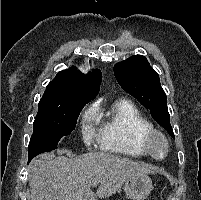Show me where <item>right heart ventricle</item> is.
<instances>
[{"label": "right heart ventricle", "instance_id": "obj_1", "mask_svg": "<svg viewBox=\"0 0 201 200\" xmlns=\"http://www.w3.org/2000/svg\"><path fill=\"white\" fill-rule=\"evenodd\" d=\"M98 116L101 125L97 140L101 149L134 158L149 154L145 135L152 125L131 101L119 99Z\"/></svg>", "mask_w": 201, "mask_h": 200}]
</instances>
